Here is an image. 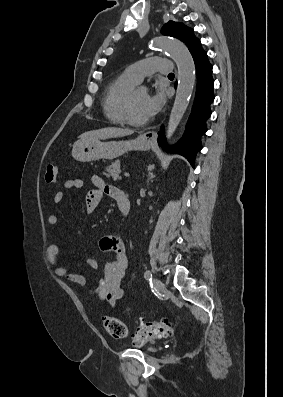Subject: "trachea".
Returning <instances> with one entry per match:
<instances>
[{"mask_svg": "<svg viewBox=\"0 0 283 397\" xmlns=\"http://www.w3.org/2000/svg\"><path fill=\"white\" fill-rule=\"evenodd\" d=\"M168 76H169V77H174V74H173V73H170Z\"/></svg>", "mask_w": 283, "mask_h": 397, "instance_id": "3493384b", "label": "trachea"}]
</instances>
